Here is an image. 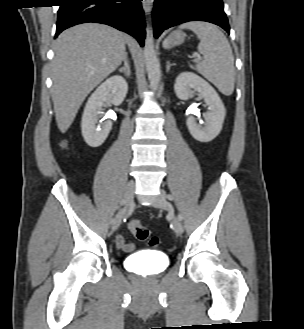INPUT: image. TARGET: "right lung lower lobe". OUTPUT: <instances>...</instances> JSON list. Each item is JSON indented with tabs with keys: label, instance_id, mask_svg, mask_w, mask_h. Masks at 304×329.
I'll return each mask as SVG.
<instances>
[{
	"label": "right lung lower lobe",
	"instance_id": "obj_1",
	"mask_svg": "<svg viewBox=\"0 0 304 329\" xmlns=\"http://www.w3.org/2000/svg\"><path fill=\"white\" fill-rule=\"evenodd\" d=\"M140 1L142 0H61L55 36L71 26L96 22L132 35L143 46L145 21Z\"/></svg>",
	"mask_w": 304,
	"mask_h": 329
}]
</instances>
